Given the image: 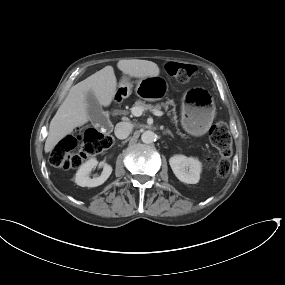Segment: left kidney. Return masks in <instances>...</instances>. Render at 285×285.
Here are the masks:
<instances>
[{
	"label": "left kidney",
	"instance_id": "1",
	"mask_svg": "<svg viewBox=\"0 0 285 285\" xmlns=\"http://www.w3.org/2000/svg\"><path fill=\"white\" fill-rule=\"evenodd\" d=\"M169 164L175 176L184 183L196 184L200 179L201 162L193 157L175 155L169 159Z\"/></svg>",
	"mask_w": 285,
	"mask_h": 285
}]
</instances>
